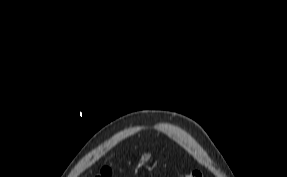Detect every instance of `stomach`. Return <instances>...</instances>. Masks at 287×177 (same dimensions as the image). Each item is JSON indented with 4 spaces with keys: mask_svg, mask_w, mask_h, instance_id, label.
I'll return each instance as SVG.
<instances>
[{
    "mask_svg": "<svg viewBox=\"0 0 287 177\" xmlns=\"http://www.w3.org/2000/svg\"><path fill=\"white\" fill-rule=\"evenodd\" d=\"M151 159V155L149 153H143L139 157V164L145 165L147 164Z\"/></svg>",
    "mask_w": 287,
    "mask_h": 177,
    "instance_id": "1",
    "label": "stomach"
}]
</instances>
